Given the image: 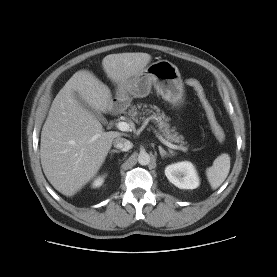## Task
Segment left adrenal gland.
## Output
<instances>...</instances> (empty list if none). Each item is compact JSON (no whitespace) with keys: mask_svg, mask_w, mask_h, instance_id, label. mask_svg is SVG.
Instances as JSON below:
<instances>
[{"mask_svg":"<svg viewBox=\"0 0 277 277\" xmlns=\"http://www.w3.org/2000/svg\"><path fill=\"white\" fill-rule=\"evenodd\" d=\"M159 148V152H160V155L161 157L163 158L164 156H170V153L166 152L161 146L158 147Z\"/></svg>","mask_w":277,"mask_h":277,"instance_id":"a2214340","label":"left adrenal gland"}]
</instances>
